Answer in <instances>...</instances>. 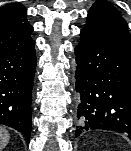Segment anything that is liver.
Listing matches in <instances>:
<instances>
[{"label":"liver","mask_w":131,"mask_h":151,"mask_svg":"<svg viewBox=\"0 0 131 151\" xmlns=\"http://www.w3.org/2000/svg\"><path fill=\"white\" fill-rule=\"evenodd\" d=\"M10 139V135L8 131L0 126V151H3V149L6 147Z\"/></svg>","instance_id":"liver-1"}]
</instances>
